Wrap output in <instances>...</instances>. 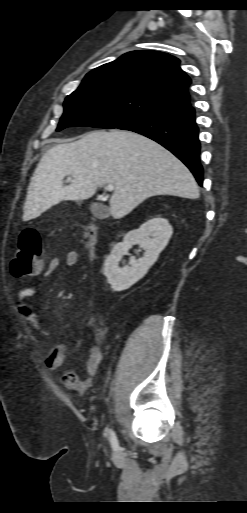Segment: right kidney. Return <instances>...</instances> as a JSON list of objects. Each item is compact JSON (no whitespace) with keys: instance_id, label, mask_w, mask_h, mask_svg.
I'll return each mask as SVG.
<instances>
[{"instance_id":"ca27d5eb","label":"right kidney","mask_w":247,"mask_h":513,"mask_svg":"<svg viewBox=\"0 0 247 513\" xmlns=\"http://www.w3.org/2000/svg\"><path fill=\"white\" fill-rule=\"evenodd\" d=\"M172 234V226L167 219L161 217L148 220L139 229L128 232L123 242L114 246L105 261L104 275L112 290H126L140 280L156 262ZM133 245H139L145 250L143 256L138 259L131 257L129 265L119 267L122 257Z\"/></svg>"}]
</instances>
